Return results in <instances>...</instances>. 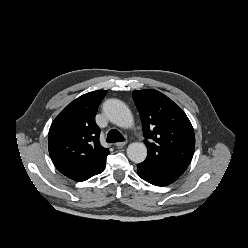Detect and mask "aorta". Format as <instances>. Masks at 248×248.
<instances>
[{
	"label": "aorta",
	"instance_id": "aorta-1",
	"mask_svg": "<svg viewBox=\"0 0 248 248\" xmlns=\"http://www.w3.org/2000/svg\"><path fill=\"white\" fill-rule=\"evenodd\" d=\"M105 116L115 125L128 128L133 125V116L127 105L118 99H108L103 104ZM127 156L134 163H141L147 156L144 143L134 142L127 148Z\"/></svg>",
	"mask_w": 248,
	"mask_h": 248
}]
</instances>
